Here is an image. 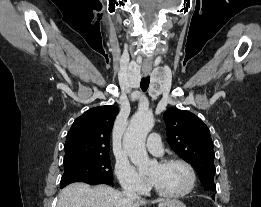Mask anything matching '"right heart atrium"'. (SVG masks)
Masks as SVG:
<instances>
[{"mask_svg": "<svg viewBox=\"0 0 261 207\" xmlns=\"http://www.w3.org/2000/svg\"><path fill=\"white\" fill-rule=\"evenodd\" d=\"M115 174L120 185L125 190L143 192L146 189L144 178L126 160H118L115 165Z\"/></svg>", "mask_w": 261, "mask_h": 207, "instance_id": "right-heart-atrium-1", "label": "right heart atrium"}]
</instances>
